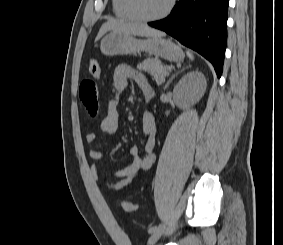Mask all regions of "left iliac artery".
I'll list each match as a JSON object with an SVG mask.
<instances>
[{"mask_svg":"<svg viewBox=\"0 0 283 245\" xmlns=\"http://www.w3.org/2000/svg\"><path fill=\"white\" fill-rule=\"evenodd\" d=\"M162 228H163V224H159V225H157V226H152V227H150L149 230H148V232H149L150 234H153V233L159 231V230L162 229Z\"/></svg>","mask_w":283,"mask_h":245,"instance_id":"1","label":"left iliac artery"}]
</instances>
